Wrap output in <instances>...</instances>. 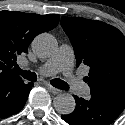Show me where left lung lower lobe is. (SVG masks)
Wrapping results in <instances>:
<instances>
[{
	"instance_id": "obj_1",
	"label": "left lung lower lobe",
	"mask_w": 125,
	"mask_h": 125,
	"mask_svg": "<svg viewBox=\"0 0 125 125\" xmlns=\"http://www.w3.org/2000/svg\"><path fill=\"white\" fill-rule=\"evenodd\" d=\"M75 110L61 118L70 125H110L125 109V98L113 94L74 96Z\"/></svg>"
}]
</instances>
